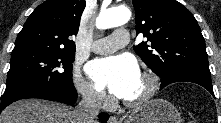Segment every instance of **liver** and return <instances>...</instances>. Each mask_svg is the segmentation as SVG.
<instances>
[{"label":"liver","instance_id":"obj_1","mask_svg":"<svg viewBox=\"0 0 221 123\" xmlns=\"http://www.w3.org/2000/svg\"><path fill=\"white\" fill-rule=\"evenodd\" d=\"M0 123H78L76 109L44 100H20L0 115Z\"/></svg>","mask_w":221,"mask_h":123}]
</instances>
